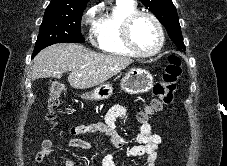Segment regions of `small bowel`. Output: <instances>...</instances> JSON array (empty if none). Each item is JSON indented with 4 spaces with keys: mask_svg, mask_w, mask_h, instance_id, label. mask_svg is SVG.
<instances>
[{
    "mask_svg": "<svg viewBox=\"0 0 227 166\" xmlns=\"http://www.w3.org/2000/svg\"><path fill=\"white\" fill-rule=\"evenodd\" d=\"M127 107L122 104L113 106L105 117L104 123H93L89 125L72 126L69 133L74 136L85 135L88 133L105 134L109 143L115 148H122L129 144H133L126 152L125 156L130 157H145L146 166H156L158 162V148L162 142L160 135L152 132L151 126L147 120L141 121V128L138 133L132 137L123 135L117 128L116 122L119 119L126 117ZM70 146L73 148H83L93 150L91 143L75 138L70 141ZM51 139H44L41 148L35 154L34 161L36 164H42L47 156L57 154ZM120 156L114 153H107L103 157V166H117ZM78 162L74 158L62 157L61 166H77Z\"/></svg>",
    "mask_w": 227,
    "mask_h": 166,
    "instance_id": "small-bowel-1",
    "label": "small bowel"
}]
</instances>
